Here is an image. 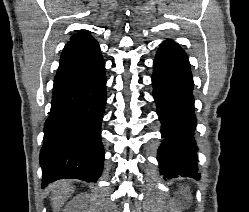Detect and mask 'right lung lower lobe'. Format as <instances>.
<instances>
[{
	"mask_svg": "<svg viewBox=\"0 0 249 212\" xmlns=\"http://www.w3.org/2000/svg\"><path fill=\"white\" fill-rule=\"evenodd\" d=\"M106 96L101 53L86 64L56 74L40 153L42 187L62 178L97 181L103 170L101 122Z\"/></svg>",
	"mask_w": 249,
	"mask_h": 212,
	"instance_id": "1",
	"label": "right lung lower lobe"
}]
</instances>
